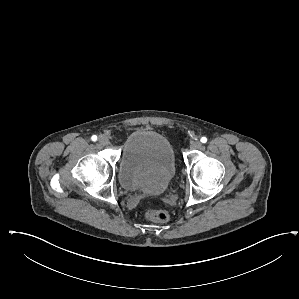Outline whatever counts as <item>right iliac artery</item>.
Wrapping results in <instances>:
<instances>
[{
  "label": "right iliac artery",
  "instance_id": "right-iliac-artery-1",
  "mask_svg": "<svg viewBox=\"0 0 299 299\" xmlns=\"http://www.w3.org/2000/svg\"><path fill=\"white\" fill-rule=\"evenodd\" d=\"M91 140H92V141H96V140H97V136H96V135H93V136L91 137Z\"/></svg>",
  "mask_w": 299,
  "mask_h": 299
}]
</instances>
